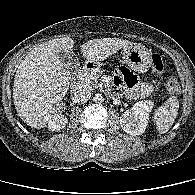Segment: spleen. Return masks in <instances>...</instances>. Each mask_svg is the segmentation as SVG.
I'll list each match as a JSON object with an SVG mask.
<instances>
[{
    "label": "spleen",
    "instance_id": "obj_1",
    "mask_svg": "<svg viewBox=\"0 0 195 195\" xmlns=\"http://www.w3.org/2000/svg\"><path fill=\"white\" fill-rule=\"evenodd\" d=\"M179 101L177 96H171L154 113L153 121L159 134L166 133L175 122L178 115Z\"/></svg>",
    "mask_w": 195,
    "mask_h": 195
}]
</instances>
